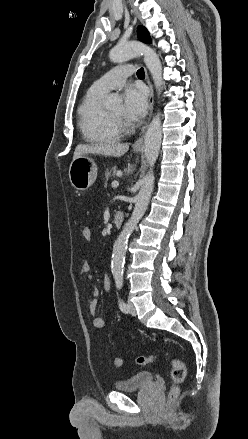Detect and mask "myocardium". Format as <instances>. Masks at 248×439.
I'll return each mask as SVG.
<instances>
[{
	"instance_id": "1",
	"label": "myocardium",
	"mask_w": 248,
	"mask_h": 439,
	"mask_svg": "<svg viewBox=\"0 0 248 439\" xmlns=\"http://www.w3.org/2000/svg\"><path fill=\"white\" fill-rule=\"evenodd\" d=\"M107 121L113 125L115 128L119 130H124L127 127V124L124 119H115L105 114Z\"/></svg>"
}]
</instances>
